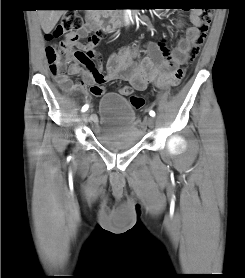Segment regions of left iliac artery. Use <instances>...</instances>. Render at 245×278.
<instances>
[{"label": "left iliac artery", "mask_w": 245, "mask_h": 278, "mask_svg": "<svg viewBox=\"0 0 245 278\" xmlns=\"http://www.w3.org/2000/svg\"><path fill=\"white\" fill-rule=\"evenodd\" d=\"M149 114H150V116H152V117L155 116V112H154L153 110H151V111L149 112Z\"/></svg>", "instance_id": "44dca946"}]
</instances>
